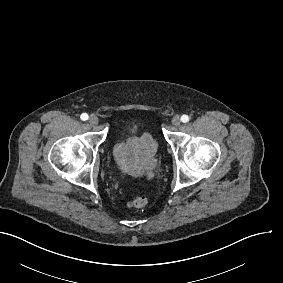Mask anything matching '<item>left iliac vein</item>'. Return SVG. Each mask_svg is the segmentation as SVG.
<instances>
[{"instance_id": "1", "label": "left iliac vein", "mask_w": 283, "mask_h": 283, "mask_svg": "<svg viewBox=\"0 0 283 283\" xmlns=\"http://www.w3.org/2000/svg\"><path fill=\"white\" fill-rule=\"evenodd\" d=\"M171 123L174 127H178L181 123V119L179 116H174L172 119H171Z\"/></svg>"}]
</instances>
